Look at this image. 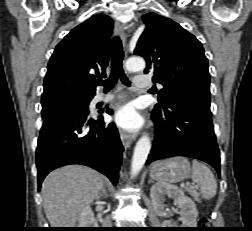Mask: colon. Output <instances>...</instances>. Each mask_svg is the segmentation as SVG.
Returning <instances> with one entry per match:
<instances>
[{"label":"colon","mask_w":252,"mask_h":231,"mask_svg":"<svg viewBox=\"0 0 252 231\" xmlns=\"http://www.w3.org/2000/svg\"><path fill=\"white\" fill-rule=\"evenodd\" d=\"M207 223V219L206 218H202L201 219V224H206Z\"/></svg>","instance_id":"colon-1"}]
</instances>
